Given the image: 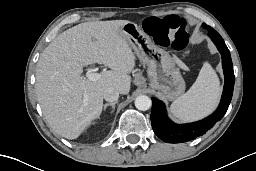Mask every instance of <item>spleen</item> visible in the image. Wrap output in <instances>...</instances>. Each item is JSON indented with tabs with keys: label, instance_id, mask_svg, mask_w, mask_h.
I'll return each mask as SVG.
<instances>
[{
	"label": "spleen",
	"instance_id": "obj_1",
	"mask_svg": "<svg viewBox=\"0 0 256 171\" xmlns=\"http://www.w3.org/2000/svg\"><path fill=\"white\" fill-rule=\"evenodd\" d=\"M221 88L217 74L212 66L205 62L191 88L174 100L171 113L182 121L200 119L217 106Z\"/></svg>",
	"mask_w": 256,
	"mask_h": 171
}]
</instances>
